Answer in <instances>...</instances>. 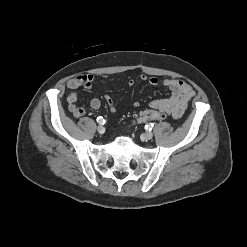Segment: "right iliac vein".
<instances>
[{
    "mask_svg": "<svg viewBox=\"0 0 247 247\" xmlns=\"http://www.w3.org/2000/svg\"><path fill=\"white\" fill-rule=\"evenodd\" d=\"M97 131H98V133L103 134L105 132V128L102 125H99L97 127Z\"/></svg>",
    "mask_w": 247,
    "mask_h": 247,
    "instance_id": "63e3f726",
    "label": "right iliac vein"
}]
</instances>
